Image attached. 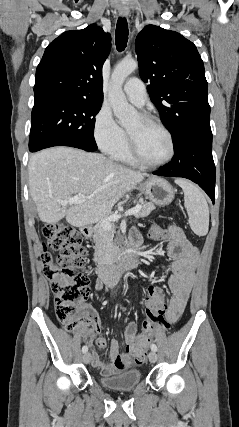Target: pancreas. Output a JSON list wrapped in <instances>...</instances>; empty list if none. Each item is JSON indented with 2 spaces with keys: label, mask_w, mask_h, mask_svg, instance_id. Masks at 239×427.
Listing matches in <instances>:
<instances>
[{
  "label": "pancreas",
  "mask_w": 239,
  "mask_h": 427,
  "mask_svg": "<svg viewBox=\"0 0 239 427\" xmlns=\"http://www.w3.org/2000/svg\"><path fill=\"white\" fill-rule=\"evenodd\" d=\"M141 210L135 214L136 218L147 217L156 207L153 203L140 201ZM93 239L95 243V256L98 262H105L113 259L116 255V250L113 245L115 230L109 231L103 229L100 224H97L94 229Z\"/></svg>",
  "instance_id": "1"
}]
</instances>
